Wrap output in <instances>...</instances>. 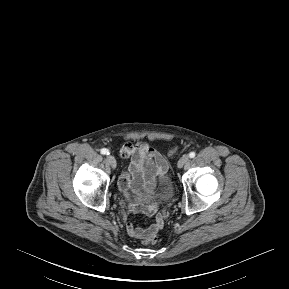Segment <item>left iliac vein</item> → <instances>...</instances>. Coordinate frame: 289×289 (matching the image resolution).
I'll use <instances>...</instances> for the list:
<instances>
[{"label": "left iliac vein", "mask_w": 289, "mask_h": 289, "mask_svg": "<svg viewBox=\"0 0 289 289\" xmlns=\"http://www.w3.org/2000/svg\"><path fill=\"white\" fill-rule=\"evenodd\" d=\"M188 160H189L188 156L183 155L177 163L178 168H182L188 162Z\"/></svg>", "instance_id": "4c4485c4"}]
</instances>
